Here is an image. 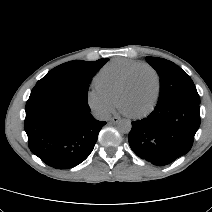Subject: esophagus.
I'll list each match as a JSON object with an SVG mask.
<instances>
[{"label": "esophagus", "mask_w": 212, "mask_h": 212, "mask_svg": "<svg viewBox=\"0 0 212 212\" xmlns=\"http://www.w3.org/2000/svg\"><path fill=\"white\" fill-rule=\"evenodd\" d=\"M119 121H120L119 117L114 116V117L111 118L112 123H118Z\"/></svg>", "instance_id": "obj_1"}]
</instances>
